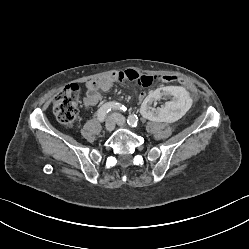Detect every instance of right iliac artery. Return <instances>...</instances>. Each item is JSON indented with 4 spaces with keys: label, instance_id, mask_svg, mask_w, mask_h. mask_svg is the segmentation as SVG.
I'll use <instances>...</instances> for the list:
<instances>
[{
    "label": "right iliac artery",
    "instance_id": "obj_1",
    "mask_svg": "<svg viewBox=\"0 0 249 249\" xmlns=\"http://www.w3.org/2000/svg\"><path fill=\"white\" fill-rule=\"evenodd\" d=\"M111 109L126 111V107L124 105H121L120 103L116 102L106 103L102 107H100V109L97 111L99 121L103 122L107 113L111 111Z\"/></svg>",
    "mask_w": 249,
    "mask_h": 249
}]
</instances>
